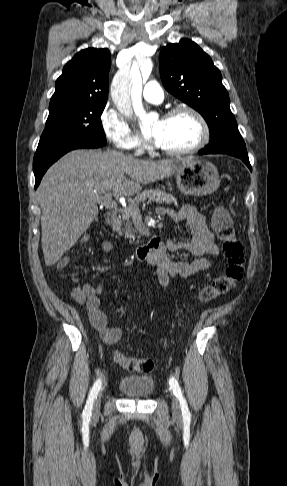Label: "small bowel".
<instances>
[{"label":"small bowel","instance_id":"1","mask_svg":"<svg viewBox=\"0 0 287 486\" xmlns=\"http://www.w3.org/2000/svg\"><path fill=\"white\" fill-rule=\"evenodd\" d=\"M159 214L168 216L176 224H182V238H172L161 241L158 252L146 261L157 267L159 282L167 287L172 278L187 277L198 271L206 270L210 266L207 256L219 255V247L213 233L209 230L205 216L192 205H184L180 210L175 211L168 208H160ZM104 252L112 250V244L105 241L102 244ZM184 253L196 259L189 263L184 260L175 259L171 255ZM63 261L67 262L65 258ZM104 290V284L96 286L84 283L81 287L86 300L85 306L89 320L93 328L99 333L105 344L117 343L122 335L121 330L109 324L106 314L100 307V296Z\"/></svg>","mask_w":287,"mask_h":486}]
</instances>
